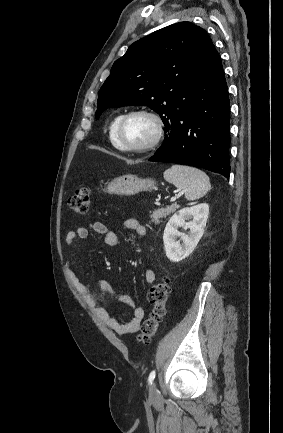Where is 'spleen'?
Masks as SVG:
<instances>
[{
	"mask_svg": "<svg viewBox=\"0 0 283 433\" xmlns=\"http://www.w3.org/2000/svg\"><path fill=\"white\" fill-rule=\"evenodd\" d=\"M164 178L175 184L177 188H187L185 196L188 200H196V198L204 196L207 190L211 188L209 176L194 166L172 164L171 168L165 170Z\"/></svg>",
	"mask_w": 283,
	"mask_h": 433,
	"instance_id": "spleen-1",
	"label": "spleen"
}]
</instances>
